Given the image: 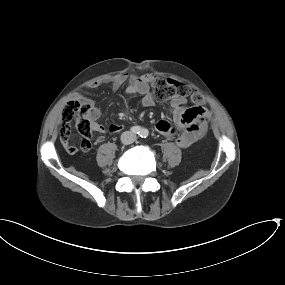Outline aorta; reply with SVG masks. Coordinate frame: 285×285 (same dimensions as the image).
<instances>
[{"mask_svg":"<svg viewBox=\"0 0 285 285\" xmlns=\"http://www.w3.org/2000/svg\"><path fill=\"white\" fill-rule=\"evenodd\" d=\"M144 131H145V134H144V135H148V130L145 129Z\"/></svg>","mask_w":285,"mask_h":285,"instance_id":"aorta-1","label":"aorta"}]
</instances>
